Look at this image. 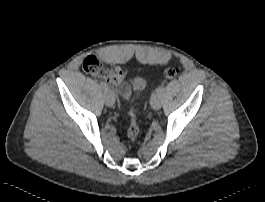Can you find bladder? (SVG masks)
Here are the masks:
<instances>
[{
    "label": "bladder",
    "instance_id": "1",
    "mask_svg": "<svg viewBox=\"0 0 265 202\" xmlns=\"http://www.w3.org/2000/svg\"><path fill=\"white\" fill-rule=\"evenodd\" d=\"M145 88V83L139 77L134 79L133 85L131 86V92L134 93L137 97L142 95V92Z\"/></svg>",
    "mask_w": 265,
    "mask_h": 202
}]
</instances>
